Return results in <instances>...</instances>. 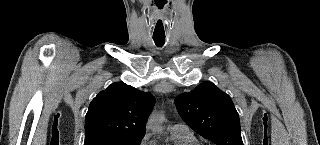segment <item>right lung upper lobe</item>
<instances>
[{"mask_svg":"<svg viewBox=\"0 0 320 145\" xmlns=\"http://www.w3.org/2000/svg\"><path fill=\"white\" fill-rule=\"evenodd\" d=\"M155 103L150 93L115 82L91 102L85 119V143L113 138L138 139Z\"/></svg>","mask_w":320,"mask_h":145,"instance_id":"1","label":"right lung upper lobe"}]
</instances>
